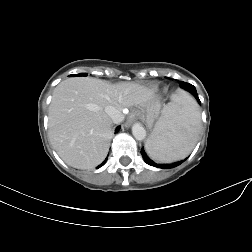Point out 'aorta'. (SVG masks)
Listing matches in <instances>:
<instances>
[{
    "mask_svg": "<svg viewBox=\"0 0 252 252\" xmlns=\"http://www.w3.org/2000/svg\"><path fill=\"white\" fill-rule=\"evenodd\" d=\"M132 134L136 140L141 141L146 137V130L141 124L136 123L132 126Z\"/></svg>",
    "mask_w": 252,
    "mask_h": 252,
    "instance_id": "762f6f07",
    "label": "aorta"
}]
</instances>
